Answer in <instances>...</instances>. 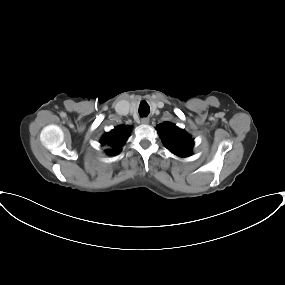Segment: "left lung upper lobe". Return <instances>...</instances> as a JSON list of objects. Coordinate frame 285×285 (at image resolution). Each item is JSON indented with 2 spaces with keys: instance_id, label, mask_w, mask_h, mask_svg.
I'll return each mask as SVG.
<instances>
[{
  "instance_id": "obj_1",
  "label": "left lung upper lobe",
  "mask_w": 285,
  "mask_h": 285,
  "mask_svg": "<svg viewBox=\"0 0 285 285\" xmlns=\"http://www.w3.org/2000/svg\"><path fill=\"white\" fill-rule=\"evenodd\" d=\"M158 134L162 138L164 146L179 157L191 155L194 142L191 136L176 125L164 122L158 125Z\"/></svg>"
}]
</instances>
